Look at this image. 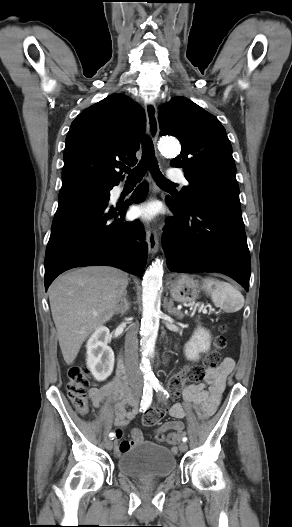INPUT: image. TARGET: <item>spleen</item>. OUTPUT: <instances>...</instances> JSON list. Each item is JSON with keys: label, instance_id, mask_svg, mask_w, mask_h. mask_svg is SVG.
<instances>
[{"label": "spleen", "instance_id": "3e777b00", "mask_svg": "<svg viewBox=\"0 0 292 527\" xmlns=\"http://www.w3.org/2000/svg\"><path fill=\"white\" fill-rule=\"evenodd\" d=\"M202 288L211 295L212 302L216 307L227 312L239 311L244 305L243 295L229 283L206 278Z\"/></svg>", "mask_w": 292, "mask_h": 527}]
</instances>
